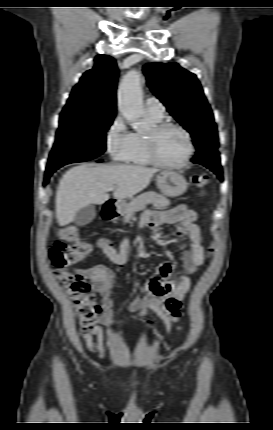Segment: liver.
I'll return each instance as SVG.
<instances>
[{
    "mask_svg": "<svg viewBox=\"0 0 273 430\" xmlns=\"http://www.w3.org/2000/svg\"><path fill=\"white\" fill-rule=\"evenodd\" d=\"M158 169L136 165L81 164L69 169L60 180L56 193V214L60 226H66L77 212L109 199L108 188L116 186L113 196L122 200L141 192Z\"/></svg>",
    "mask_w": 273,
    "mask_h": 430,
    "instance_id": "6515ba94",
    "label": "liver"
}]
</instances>
